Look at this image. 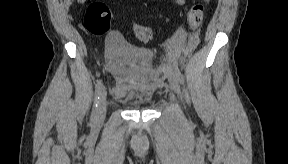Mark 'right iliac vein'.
<instances>
[{
  "instance_id": "right-iliac-vein-1",
  "label": "right iliac vein",
  "mask_w": 288,
  "mask_h": 164,
  "mask_svg": "<svg viewBox=\"0 0 288 164\" xmlns=\"http://www.w3.org/2000/svg\"><path fill=\"white\" fill-rule=\"evenodd\" d=\"M106 111H107L106 93L105 91H102L100 98H99L98 107H97V114H96L97 121L104 120L106 116Z\"/></svg>"
}]
</instances>
